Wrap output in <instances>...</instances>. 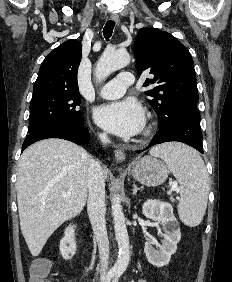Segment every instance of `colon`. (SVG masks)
I'll list each match as a JSON object with an SVG mask.
<instances>
[{
  "instance_id": "1",
  "label": "colon",
  "mask_w": 232,
  "mask_h": 282,
  "mask_svg": "<svg viewBox=\"0 0 232 282\" xmlns=\"http://www.w3.org/2000/svg\"><path fill=\"white\" fill-rule=\"evenodd\" d=\"M51 264L46 259L34 261L30 269V282H51Z\"/></svg>"
}]
</instances>
